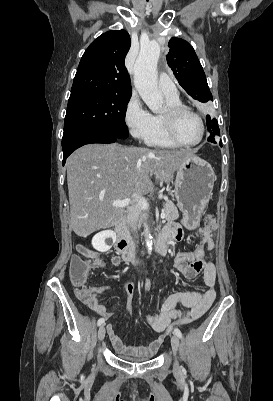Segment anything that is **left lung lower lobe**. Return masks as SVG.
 Instances as JSON below:
<instances>
[{"mask_svg":"<svg viewBox=\"0 0 273 401\" xmlns=\"http://www.w3.org/2000/svg\"><path fill=\"white\" fill-rule=\"evenodd\" d=\"M207 127L210 131V137L208 138L209 142L216 143L214 137L216 134H219L220 130L218 128V122L216 119L211 120L210 116H207ZM212 129V130H211ZM219 145L222 147V141H219Z\"/></svg>","mask_w":273,"mask_h":401,"instance_id":"left-lung-lower-lobe-1","label":"left lung lower lobe"}]
</instances>
